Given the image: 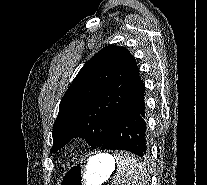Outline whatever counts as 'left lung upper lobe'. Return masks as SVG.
<instances>
[{
	"label": "left lung upper lobe",
	"instance_id": "1",
	"mask_svg": "<svg viewBox=\"0 0 207 185\" xmlns=\"http://www.w3.org/2000/svg\"><path fill=\"white\" fill-rule=\"evenodd\" d=\"M144 90L129 51L116 45L104 47L81 68L62 98L50 152L73 137L85 138L101 150L118 115Z\"/></svg>",
	"mask_w": 207,
	"mask_h": 185
}]
</instances>
